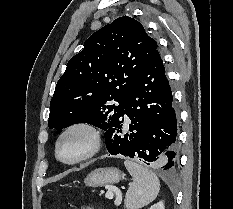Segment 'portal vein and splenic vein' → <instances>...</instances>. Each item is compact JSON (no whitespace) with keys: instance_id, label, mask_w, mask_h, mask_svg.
Segmentation results:
<instances>
[{"instance_id":"1","label":"portal vein and splenic vein","mask_w":233,"mask_h":209,"mask_svg":"<svg viewBox=\"0 0 233 209\" xmlns=\"http://www.w3.org/2000/svg\"><path fill=\"white\" fill-rule=\"evenodd\" d=\"M116 200H115V204L119 205L122 201V195L121 192L119 190H116ZM105 197L108 199H113L114 194L112 192V190H108L105 194Z\"/></svg>"}]
</instances>
